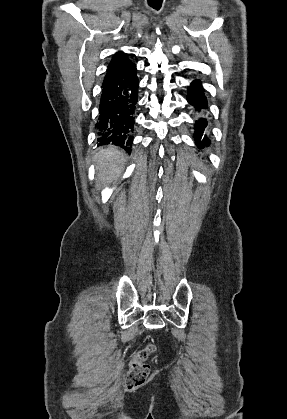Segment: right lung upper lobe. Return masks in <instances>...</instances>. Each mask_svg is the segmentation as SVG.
Listing matches in <instances>:
<instances>
[{"instance_id": "1", "label": "right lung upper lobe", "mask_w": 287, "mask_h": 419, "mask_svg": "<svg viewBox=\"0 0 287 419\" xmlns=\"http://www.w3.org/2000/svg\"><path fill=\"white\" fill-rule=\"evenodd\" d=\"M134 66L135 64H133L131 61L127 59L126 54L122 52L116 53L108 66L107 73L103 82L115 76L126 73Z\"/></svg>"}]
</instances>
